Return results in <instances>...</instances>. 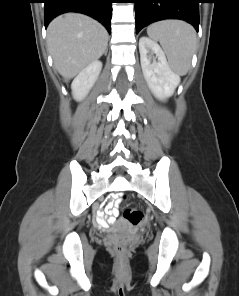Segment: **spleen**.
<instances>
[{"instance_id":"1","label":"spleen","mask_w":239,"mask_h":296,"mask_svg":"<svg viewBox=\"0 0 239 296\" xmlns=\"http://www.w3.org/2000/svg\"><path fill=\"white\" fill-rule=\"evenodd\" d=\"M147 34L160 42L171 69L178 75H186L197 47L194 28L183 21L165 20L149 25Z\"/></svg>"}]
</instances>
